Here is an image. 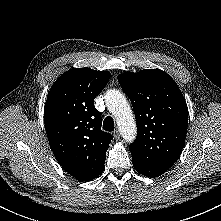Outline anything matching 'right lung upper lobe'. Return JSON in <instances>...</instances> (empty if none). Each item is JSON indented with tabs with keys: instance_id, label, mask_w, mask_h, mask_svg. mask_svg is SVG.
I'll list each match as a JSON object with an SVG mask.
<instances>
[{
	"instance_id": "obj_1",
	"label": "right lung upper lobe",
	"mask_w": 221,
	"mask_h": 221,
	"mask_svg": "<svg viewBox=\"0 0 221 221\" xmlns=\"http://www.w3.org/2000/svg\"><path fill=\"white\" fill-rule=\"evenodd\" d=\"M110 78L107 71L72 68L51 87L44 107V123L51 150L62 168L81 181L104 170L112 136L101 130L95 97Z\"/></svg>"
}]
</instances>
